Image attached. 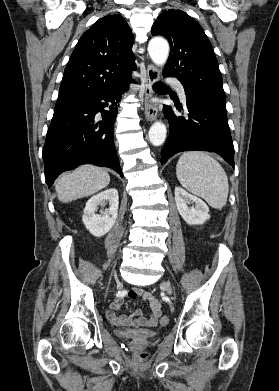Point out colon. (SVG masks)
<instances>
[{"instance_id": "obj_1", "label": "colon", "mask_w": 279, "mask_h": 391, "mask_svg": "<svg viewBox=\"0 0 279 391\" xmlns=\"http://www.w3.org/2000/svg\"><path fill=\"white\" fill-rule=\"evenodd\" d=\"M160 321H161V324L165 325L168 323V318L166 316H162ZM141 356L145 357V354H142Z\"/></svg>"}]
</instances>
